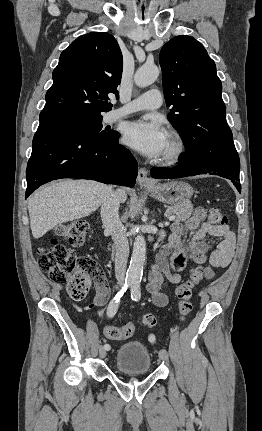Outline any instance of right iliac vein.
<instances>
[{
	"label": "right iliac vein",
	"instance_id": "1",
	"mask_svg": "<svg viewBox=\"0 0 262 431\" xmlns=\"http://www.w3.org/2000/svg\"><path fill=\"white\" fill-rule=\"evenodd\" d=\"M99 356L101 358H105L106 357V349L104 347H99Z\"/></svg>",
	"mask_w": 262,
	"mask_h": 431
}]
</instances>
